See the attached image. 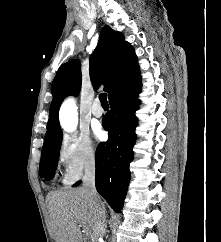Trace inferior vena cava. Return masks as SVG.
I'll use <instances>...</instances> for the list:
<instances>
[{
    "instance_id": "1",
    "label": "inferior vena cava",
    "mask_w": 221,
    "mask_h": 242,
    "mask_svg": "<svg viewBox=\"0 0 221 242\" xmlns=\"http://www.w3.org/2000/svg\"><path fill=\"white\" fill-rule=\"evenodd\" d=\"M82 189L87 194L91 204L95 208V224H94V236L96 238L103 237L106 233V210L104 204L100 200V197L95 187V165L91 163L86 166L83 176Z\"/></svg>"
}]
</instances>
